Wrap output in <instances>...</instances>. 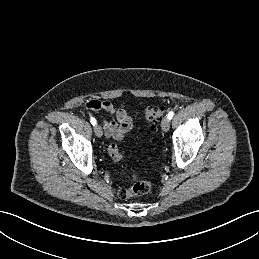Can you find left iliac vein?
Returning <instances> with one entry per match:
<instances>
[{"label": "left iliac vein", "mask_w": 259, "mask_h": 259, "mask_svg": "<svg viewBox=\"0 0 259 259\" xmlns=\"http://www.w3.org/2000/svg\"><path fill=\"white\" fill-rule=\"evenodd\" d=\"M162 130L164 132H167L170 128V120L168 117L163 118L162 123H161Z\"/></svg>", "instance_id": "left-iliac-vein-1"}]
</instances>
